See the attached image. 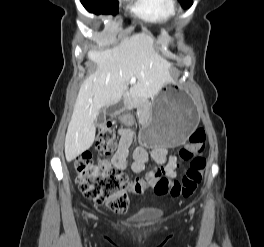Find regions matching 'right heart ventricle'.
I'll return each instance as SVG.
<instances>
[{
    "label": "right heart ventricle",
    "mask_w": 264,
    "mask_h": 247,
    "mask_svg": "<svg viewBox=\"0 0 264 247\" xmlns=\"http://www.w3.org/2000/svg\"><path fill=\"white\" fill-rule=\"evenodd\" d=\"M134 13L141 19L153 23H169L176 15L175 0H137Z\"/></svg>",
    "instance_id": "right-heart-ventricle-1"
}]
</instances>
